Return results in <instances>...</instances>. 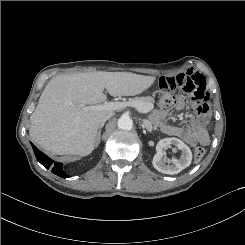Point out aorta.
<instances>
[{"instance_id":"obj_1","label":"aorta","mask_w":245,"mask_h":245,"mask_svg":"<svg viewBox=\"0 0 245 245\" xmlns=\"http://www.w3.org/2000/svg\"><path fill=\"white\" fill-rule=\"evenodd\" d=\"M118 128L129 131L133 127V121L129 116H121L117 122Z\"/></svg>"}]
</instances>
